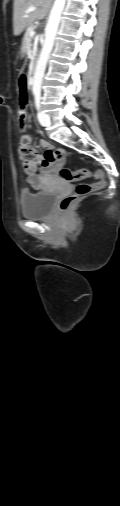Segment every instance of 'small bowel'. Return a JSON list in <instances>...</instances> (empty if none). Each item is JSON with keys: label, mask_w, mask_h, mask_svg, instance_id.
<instances>
[{"label": "small bowel", "mask_w": 120, "mask_h": 506, "mask_svg": "<svg viewBox=\"0 0 120 506\" xmlns=\"http://www.w3.org/2000/svg\"><path fill=\"white\" fill-rule=\"evenodd\" d=\"M40 146L46 149V152L39 155V165L41 167L37 174H31L27 181L36 189L41 188L46 182L56 179L59 173V167L66 158V150L55 148L52 145L41 142ZM50 156L52 159H49Z\"/></svg>", "instance_id": "c3829d8e"}]
</instances>
